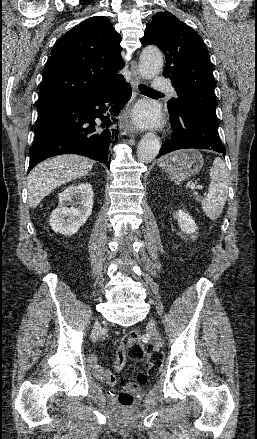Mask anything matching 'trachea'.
Masks as SVG:
<instances>
[{
    "label": "trachea",
    "mask_w": 257,
    "mask_h": 439,
    "mask_svg": "<svg viewBox=\"0 0 257 439\" xmlns=\"http://www.w3.org/2000/svg\"><path fill=\"white\" fill-rule=\"evenodd\" d=\"M139 89H140V91L146 92V93H158V92L154 91L153 89H151L150 87L143 85V84L139 85Z\"/></svg>",
    "instance_id": "1"
}]
</instances>
